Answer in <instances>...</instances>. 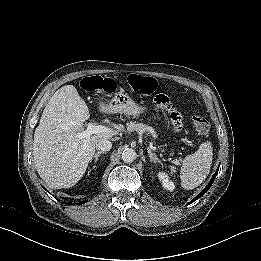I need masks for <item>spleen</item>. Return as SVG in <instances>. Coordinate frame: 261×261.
<instances>
[{"mask_svg": "<svg viewBox=\"0 0 261 261\" xmlns=\"http://www.w3.org/2000/svg\"><path fill=\"white\" fill-rule=\"evenodd\" d=\"M212 148L210 143H202L199 149L183 160L180 170L181 185L185 189H194L206 179L212 164ZM174 171L175 167H170Z\"/></svg>", "mask_w": 261, "mask_h": 261, "instance_id": "spleen-1", "label": "spleen"}]
</instances>
